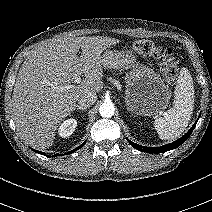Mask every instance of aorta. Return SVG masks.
Wrapping results in <instances>:
<instances>
[{
    "mask_svg": "<svg viewBox=\"0 0 212 212\" xmlns=\"http://www.w3.org/2000/svg\"><path fill=\"white\" fill-rule=\"evenodd\" d=\"M115 108L111 102H104L99 107V113L102 117H112L114 114Z\"/></svg>",
    "mask_w": 212,
    "mask_h": 212,
    "instance_id": "762f6f07",
    "label": "aorta"
}]
</instances>
